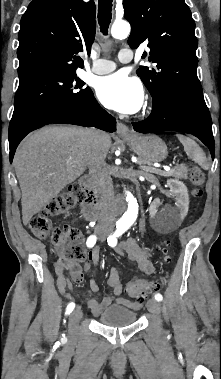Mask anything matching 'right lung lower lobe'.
Segmentation results:
<instances>
[{
  "mask_svg": "<svg viewBox=\"0 0 221 379\" xmlns=\"http://www.w3.org/2000/svg\"><path fill=\"white\" fill-rule=\"evenodd\" d=\"M52 123L96 127L108 132L116 130V120L98 104L91 91L83 101L40 118L24 131L9 139L10 162L13 160L18 144L28 133Z\"/></svg>",
  "mask_w": 221,
  "mask_h": 379,
  "instance_id": "right-lung-lower-lobe-1",
  "label": "right lung lower lobe"
}]
</instances>
